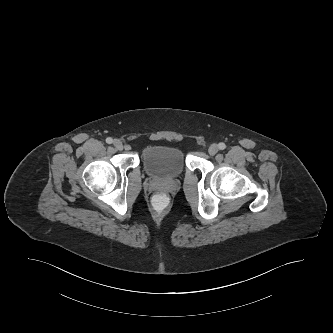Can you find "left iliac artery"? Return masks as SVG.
Masks as SVG:
<instances>
[{"mask_svg":"<svg viewBox=\"0 0 333 333\" xmlns=\"http://www.w3.org/2000/svg\"><path fill=\"white\" fill-rule=\"evenodd\" d=\"M218 147L220 150H224L226 148V145L221 142V143H219Z\"/></svg>","mask_w":333,"mask_h":333,"instance_id":"1","label":"left iliac artery"}]
</instances>
